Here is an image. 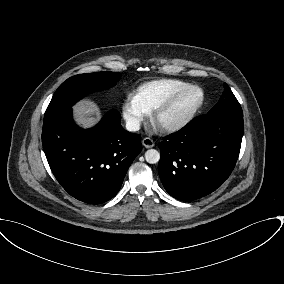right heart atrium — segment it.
I'll list each match as a JSON object with an SVG mask.
<instances>
[{"instance_id":"d8ad5b80","label":"right heart atrium","mask_w":284,"mask_h":284,"mask_svg":"<svg viewBox=\"0 0 284 284\" xmlns=\"http://www.w3.org/2000/svg\"><path fill=\"white\" fill-rule=\"evenodd\" d=\"M147 112L139 104L135 95H128L122 105V116L126 127L131 130H137L147 116Z\"/></svg>"}]
</instances>
